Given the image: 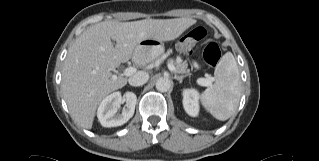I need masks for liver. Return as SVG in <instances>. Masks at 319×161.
<instances>
[{
    "label": "liver",
    "instance_id": "1",
    "mask_svg": "<svg viewBox=\"0 0 319 161\" xmlns=\"http://www.w3.org/2000/svg\"><path fill=\"white\" fill-rule=\"evenodd\" d=\"M195 23L191 18L144 19L103 21L87 28L69 47L62 70V92L72 118L91 129L101 100L127 84V78L111 70L131 59L142 40L171 41Z\"/></svg>",
    "mask_w": 319,
    "mask_h": 161
}]
</instances>
